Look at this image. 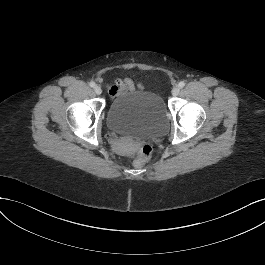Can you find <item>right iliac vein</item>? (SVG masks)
Returning a JSON list of instances; mask_svg holds the SVG:
<instances>
[{"mask_svg":"<svg viewBox=\"0 0 265 265\" xmlns=\"http://www.w3.org/2000/svg\"><path fill=\"white\" fill-rule=\"evenodd\" d=\"M94 92L97 94V95H100L102 93V89L100 86H95L94 87Z\"/></svg>","mask_w":265,"mask_h":265,"instance_id":"right-iliac-vein-1","label":"right iliac vein"}]
</instances>
